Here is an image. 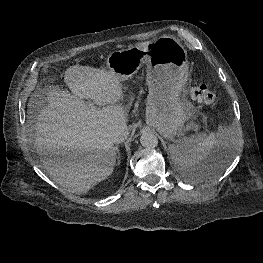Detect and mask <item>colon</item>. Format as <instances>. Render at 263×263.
<instances>
[{
	"label": "colon",
	"mask_w": 263,
	"mask_h": 263,
	"mask_svg": "<svg viewBox=\"0 0 263 263\" xmlns=\"http://www.w3.org/2000/svg\"><path fill=\"white\" fill-rule=\"evenodd\" d=\"M193 100L206 105H212L216 101L214 91L206 84H197L190 89Z\"/></svg>",
	"instance_id": "colon-1"
}]
</instances>
